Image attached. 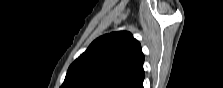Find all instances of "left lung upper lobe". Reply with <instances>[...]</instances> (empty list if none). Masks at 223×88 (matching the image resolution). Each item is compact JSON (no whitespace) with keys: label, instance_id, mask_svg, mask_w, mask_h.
Wrapping results in <instances>:
<instances>
[{"label":"left lung upper lobe","instance_id":"left-lung-upper-lobe-1","mask_svg":"<svg viewBox=\"0 0 223 88\" xmlns=\"http://www.w3.org/2000/svg\"><path fill=\"white\" fill-rule=\"evenodd\" d=\"M143 62L140 43L131 33L106 34L70 65L61 88H139Z\"/></svg>","mask_w":223,"mask_h":88}]
</instances>
